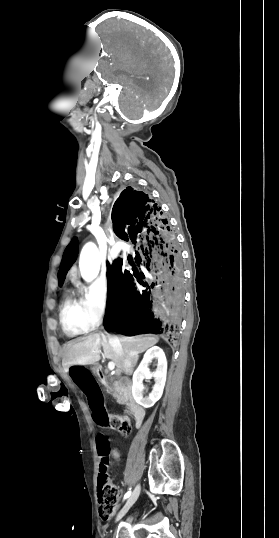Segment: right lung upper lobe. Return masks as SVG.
Returning <instances> with one entry per match:
<instances>
[{
	"instance_id": "1",
	"label": "right lung upper lobe",
	"mask_w": 279,
	"mask_h": 538,
	"mask_svg": "<svg viewBox=\"0 0 279 538\" xmlns=\"http://www.w3.org/2000/svg\"><path fill=\"white\" fill-rule=\"evenodd\" d=\"M130 333H134V332H126V333H123V334H130Z\"/></svg>"
}]
</instances>
